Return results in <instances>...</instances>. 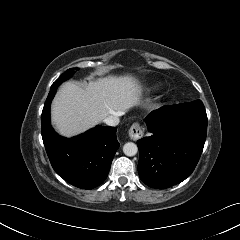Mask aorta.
Instances as JSON below:
<instances>
[{"label": "aorta", "instance_id": "obj_1", "mask_svg": "<svg viewBox=\"0 0 240 240\" xmlns=\"http://www.w3.org/2000/svg\"><path fill=\"white\" fill-rule=\"evenodd\" d=\"M123 152L126 156H134L137 154L138 152V147L135 143L133 142H128L126 144H124L123 146Z\"/></svg>", "mask_w": 240, "mask_h": 240}]
</instances>
